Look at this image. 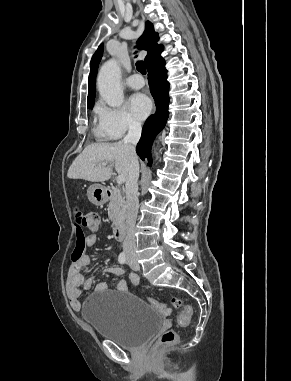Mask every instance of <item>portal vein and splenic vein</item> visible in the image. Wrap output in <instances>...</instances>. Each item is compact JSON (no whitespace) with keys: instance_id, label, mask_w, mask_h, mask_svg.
Segmentation results:
<instances>
[{"instance_id":"18ae733b","label":"portal vein and splenic vein","mask_w":291,"mask_h":381,"mask_svg":"<svg viewBox=\"0 0 291 381\" xmlns=\"http://www.w3.org/2000/svg\"><path fill=\"white\" fill-rule=\"evenodd\" d=\"M102 166H106V164L103 163ZM124 182H125V178H123V177H117V183L119 185L123 184Z\"/></svg>"}]
</instances>
